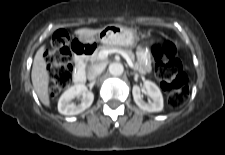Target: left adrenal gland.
Here are the masks:
<instances>
[{
  "mask_svg": "<svg viewBox=\"0 0 225 155\" xmlns=\"http://www.w3.org/2000/svg\"><path fill=\"white\" fill-rule=\"evenodd\" d=\"M131 74H132V75H133V74L137 75L135 72H131Z\"/></svg>",
  "mask_w": 225,
  "mask_h": 155,
  "instance_id": "obj_1",
  "label": "left adrenal gland"
}]
</instances>
